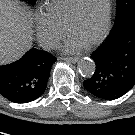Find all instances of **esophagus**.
Returning a JSON list of instances; mask_svg holds the SVG:
<instances>
[{
	"mask_svg": "<svg viewBox=\"0 0 135 135\" xmlns=\"http://www.w3.org/2000/svg\"><path fill=\"white\" fill-rule=\"evenodd\" d=\"M62 60L70 63H76L79 59L78 57H64Z\"/></svg>",
	"mask_w": 135,
	"mask_h": 135,
	"instance_id": "1",
	"label": "esophagus"
}]
</instances>
